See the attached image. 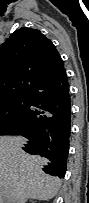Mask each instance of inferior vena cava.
<instances>
[{"mask_svg":"<svg viewBox=\"0 0 89 203\" xmlns=\"http://www.w3.org/2000/svg\"><path fill=\"white\" fill-rule=\"evenodd\" d=\"M21 195V194H20ZM19 195V196H20ZM17 203H24V199L22 198V196H20V199H17V201H16Z\"/></svg>","mask_w":89,"mask_h":203,"instance_id":"602c4592","label":"inferior vena cava"}]
</instances>
